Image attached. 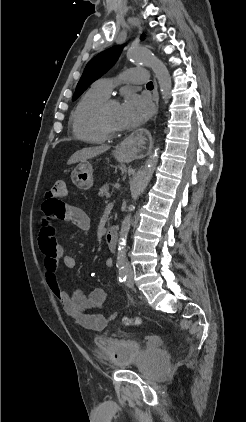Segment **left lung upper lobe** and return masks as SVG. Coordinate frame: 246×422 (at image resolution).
<instances>
[{
    "label": "left lung upper lobe",
    "mask_w": 246,
    "mask_h": 422,
    "mask_svg": "<svg viewBox=\"0 0 246 422\" xmlns=\"http://www.w3.org/2000/svg\"><path fill=\"white\" fill-rule=\"evenodd\" d=\"M144 34L141 40H144ZM123 47L113 46L92 58L85 67L72 100L75 101L95 80L106 73L117 61Z\"/></svg>",
    "instance_id": "5c2ea615"
}]
</instances>
